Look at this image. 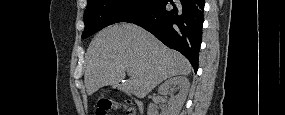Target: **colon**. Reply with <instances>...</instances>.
<instances>
[{"instance_id":"5ec220e1","label":"colon","mask_w":285,"mask_h":115,"mask_svg":"<svg viewBox=\"0 0 285 115\" xmlns=\"http://www.w3.org/2000/svg\"><path fill=\"white\" fill-rule=\"evenodd\" d=\"M113 106V103L110 100H101L99 102V107L97 113L99 115H105L107 110ZM116 106L122 109L126 114H134V111L129 105V102L119 103Z\"/></svg>"}]
</instances>
